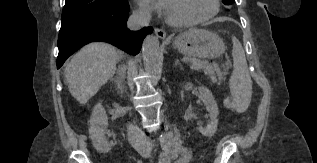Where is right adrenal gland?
Returning a JSON list of instances; mask_svg holds the SVG:
<instances>
[{"label":"right adrenal gland","instance_id":"1","mask_svg":"<svg viewBox=\"0 0 317 163\" xmlns=\"http://www.w3.org/2000/svg\"><path fill=\"white\" fill-rule=\"evenodd\" d=\"M123 78H124V76H117L115 78H111L110 81L115 84L116 89H121Z\"/></svg>","mask_w":317,"mask_h":163}]
</instances>
